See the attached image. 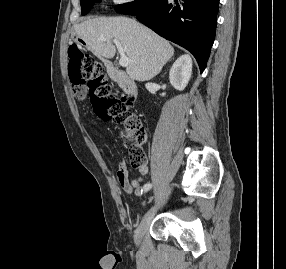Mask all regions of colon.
I'll return each instance as SVG.
<instances>
[{
	"mask_svg": "<svg viewBox=\"0 0 286 269\" xmlns=\"http://www.w3.org/2000/svg\"><path fill=\"white\" fill-rule=\"evenodd\" d=\"M67 54L69 76L74 86L73 94L78 97L81 87L87 86L95 114L104 121L120 126L121 137L129 150L131 165L134 168L145 165L143 144L146 136L139 118L128 112L130 100L114 94L103 73L102 64L77 44H70Z\"/></svg>",
	"mask_w": 286,
	"mask_h": 269,
	"instance_id": "obj_1",
	"label": "colon"
}]
</instances>
